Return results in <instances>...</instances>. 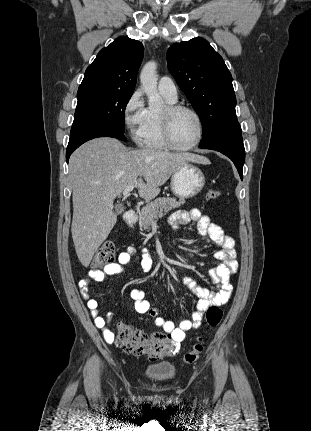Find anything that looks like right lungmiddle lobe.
Instances as JSON below:
<instances>
[{
  "label": "right lung middle lobe",
  "mask_w": 311,
  "mask_h": 431,
  "mask_svg": "<svg viewBox=\"0 0 311 431\" xmlns=\"http://www.w3.org/2000/svg\"><path fill=\"white\" fill-rule=\"evenodd\" d=\"M132 93L89 89L77 92L71 132L89 126H105L124 132V112Z\"/></svg>",
  "instance_id": "right-lung-middle-lobe-1"
}]
</instances>
